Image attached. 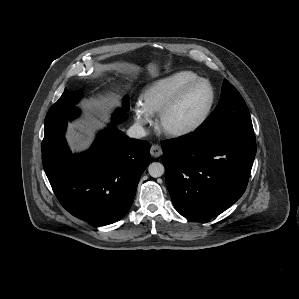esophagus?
Returning a JSON list of instances; mask_svg holds the SVG:
<instances>
[{
	"label": "esophagus",
	"mask_w": 299,
	"mask_h": 299,
	"mask_svg": "<svg viewBox=\"0 0 299 299\" xmlns=\"http://www.w3.org/2000/svg\"><path fill=\"white\" fill-rule=\"evenodd\" d=\"M150 153L153 157H159L162 154V149L159 145L154 144L151 146Z\"/></svg>",
	"instance_id": "obj_1"
}]
</instances>
